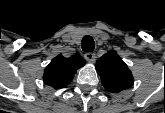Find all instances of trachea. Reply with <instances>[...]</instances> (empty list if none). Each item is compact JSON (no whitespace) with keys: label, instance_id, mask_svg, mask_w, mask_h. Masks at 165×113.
<instances>
[{"label":"trachea","instance_id":"1","mask_svg":"<svg viewBox=\"0 0 165 113\" xmlns=\"http://www.w3.org/2000/svg\"><path fill=\"white\" fill-rule=\"evenodd\" d=\"M82 45H83L85 51H92V49L94 48V42L90 37L84 38Z\"/></svg>","mask_w":165,"mask_h":113}]
</instances>
